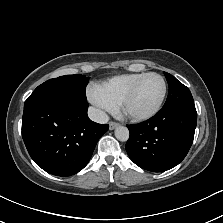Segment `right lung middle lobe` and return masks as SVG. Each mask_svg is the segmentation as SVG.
Listing matches in <instances>:
<instances>
[{
  "label": "right lung middle lobe",
  "instance_id": "dd1d6c3e",
  "mask_svg": "<svg viewBox=\"0 0 223 223\" xmlns=\"http://www.w3.org/2000/svg\"><path fill=\"white\" fill-rule=\"evenodd\" d=\"M89 77L80 74L65 75L50 79L39 85L24 103L29 105L59 99L87 101L85 91Z\"/></svg>",
  "mask_w": 223,
  "mask_h": 223
}]
</instances>
